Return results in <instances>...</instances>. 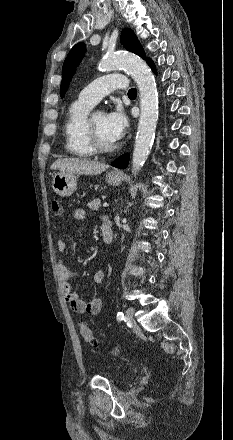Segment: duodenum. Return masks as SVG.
<instances>
[{
  "mask_svg": "<svg viewBox=\"0 0 233 440\" xmlns=\"http://www.w3.org/2000/svg\"><path fill=\"white\" fill-rule=\"evenodd\" d=\"M101 234L103 241L106 244H111L113 241V227L110 219L106 218L104 219L102 226H101Z\"/></svg>",
  "mask_w": 233,
  "mask_h": 440,
  "instance_id": "1",
  "label": "duodenum"
}]
</instances>
